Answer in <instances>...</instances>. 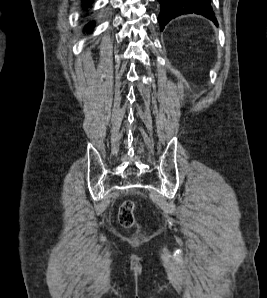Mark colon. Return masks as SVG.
Listing matches in <instances>:
<instances>
[{
    "label": "colon",
    "mask_w": 267,
    "mask_h": 298,
    "mask_svg": "<svg viewBox=\"0 0 267 298\" xmlns=\"http://www.w3.org/2000/svg\"><path fill=\"white\" fill-rule=\"evenodd\" d=\"M134 207V202L128 200L122 204L119 210V222L124 228H131L135 225Z\"/></svg>",
    "instance_id": "colon-1"
}]
</instances>
